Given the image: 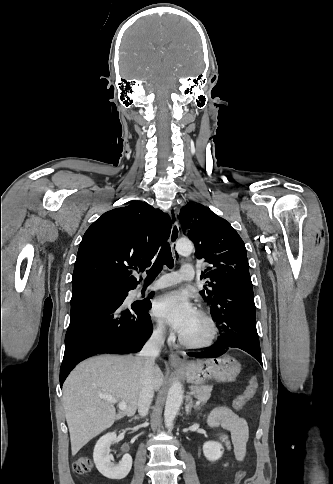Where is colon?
Instances as JSON below:
<instances>
[{"mask_svg": "<svg viewBox=\"0 0 333 484\" xmlns=\"http://www.w3.org/2000/svg\"><path fill=\"white\" fill-rule=\"evenodd\" d=\"M257 388L258 382L256 377H251L245 390L233 401V408L235 410H241L255 396ZM73 469L74 472L78 475L88 474L92 470V462L87 457H80L74 462ZM244 476V470L238 471L234 484H239Z\"/></svg>", "mask_w": 333, "mask_h": 484, "instance_id": "colon-1", "label": "colon"}]
</instances>
